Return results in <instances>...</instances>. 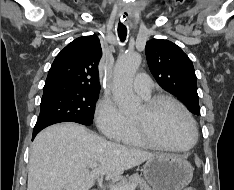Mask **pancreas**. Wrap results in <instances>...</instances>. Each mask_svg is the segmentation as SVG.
<instances>
[{
	"label": "pancreas",
	"mask_w": 234,
	"mask_h": 190,
	"mask_svg": "<svg viewBox=\"0 0 234 190\" xmlns=\"http://www.w3.org/2000/svg\"><path fill=\"white\" fill-rule=\"evenodd\" d=\"M127 185H135L140 188V190H153L149 185H147L146 181L141 178L139 174H133L132 176L124 177L120 180L119 183H117L116 186H127Z\"/></svg>",
	"instance_id": "cf45deb5"
}]
</instances>
